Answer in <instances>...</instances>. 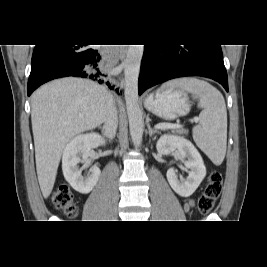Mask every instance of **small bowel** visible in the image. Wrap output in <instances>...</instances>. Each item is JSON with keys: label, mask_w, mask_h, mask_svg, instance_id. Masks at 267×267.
Segmentation results:
<instances>
[{"label": "small bowel", "mask_w": 267, "mask_h": 267, "mask_svg": "<svg viewBox=\"0 0 267 267\" xmlns=\"http://www.w3.org/2000/svg\"><path fill=\"white\" fill-rule=\"evenodd\" d=\"M192 205H193V201L190 200L189 202H187V203L185 204V207L188 209V208L191 207Z\"/></svg>", "instance_id": "c3829d8e"}]
</instances>
